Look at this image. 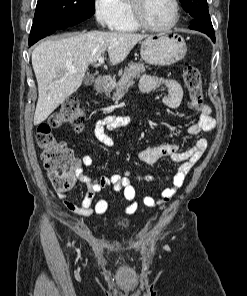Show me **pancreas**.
<instances>
[{
    "instance_id": "1",
    "label": "pancreas",
    "mask_w": 247,
    "mask_h": 296,
    "mask_svg": "<svg viewBox=\"0 0 247 296\" xmlns=\"http://www.w3.org/2000/svg\"><path fill=\"white\" fill-rule=\"evenodd\" d=\"M146 66L143 63H130L128 67L124 69V73L115 86V93L113 95L114 100H119L128 91V89L134 84V80L140 77L141 73H144Z\"/></svg>"
}]
</instances>
